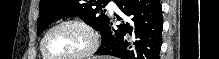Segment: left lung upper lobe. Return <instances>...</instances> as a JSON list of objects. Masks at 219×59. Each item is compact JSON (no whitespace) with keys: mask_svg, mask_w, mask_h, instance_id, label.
I'll return each instance as SVG.
<instances>
[{"mask_svg":"<svg viewBox=\"0 0 219 59\" xmlns=\"http://www.w3.org/2000/svg\"><path fill=\"white\" fill-rule=\"evenodd\" d=\"M108 0H41L40 14L37 23V35L54 20L78 16L100 33L109 17L103 12Z\"/></svg>","mask_w":219,"mask_h":59,"instance_id":"left-lung-upper-lobe-1","label":"left lung upper lobe"}]
</instances>
